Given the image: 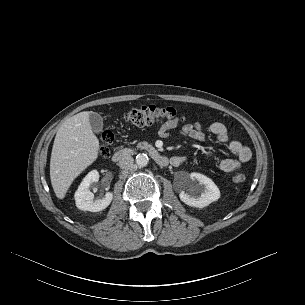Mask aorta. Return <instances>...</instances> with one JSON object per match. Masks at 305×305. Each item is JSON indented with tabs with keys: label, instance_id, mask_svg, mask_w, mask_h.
Masks as SVG:
<instances>
[{
	"label": "aorta",
	"instance_id": "aorta-1",
	"mask_svg": "<svg viewBox=\"0 0 305 305\" xmlns=\"http://www.w3.org/2000/svg\"><path fill=\"white\" fill-rule=\"evenodd\" d=\"M148 162H149V158L146 154L143 153V154H138L136 156V163L138 166L145 167L147 166Z\"/></svg>",
	"mask_w": 305,
	"mask_h": 305
}]
</instances>
